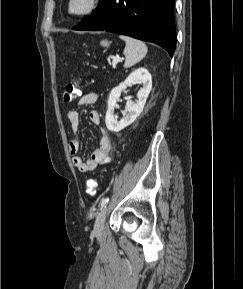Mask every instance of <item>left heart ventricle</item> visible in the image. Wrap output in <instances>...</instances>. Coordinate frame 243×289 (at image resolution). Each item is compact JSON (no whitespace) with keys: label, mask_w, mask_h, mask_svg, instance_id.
Instances as JSON below:
<instances>
[{"label":"left heart ventricle","mask_w":243,"mask_h":289,"mask_svg":"<svg viewBox=\"0 0 243 289\" xmlns=\"http://www.w3.org/2000/svg\"><path fill=\"white\" fill-rule=\"evenodd\" d=\"M85 4H86V0H75L73 4V9L80 10L85 6Z\"/></svg>","instance_id":"left-heart-ventricle-1"}]
</instances>
